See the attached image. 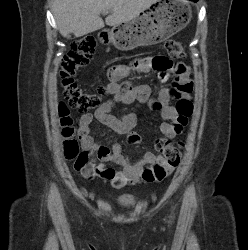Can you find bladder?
Wrapping results in <instances>:
<instances>
[{
    "mask_svg": "<svg viewBox=\"0 0 248 250\" xmlns=\"http://www.w3.org/2000/svg\"><path fill=\"white\" fill-rule=\"evenodd\" d=\"M136 201V196L132 193H122L118 196V202L121 205L129 206L134 204Z\"/></svg>",
    "mask_w": 248,
    "mask_h": 250,
    "instance_id": "31cf9c89",
    "label": "bladder"
}]
</instances>
